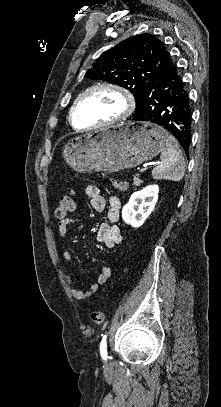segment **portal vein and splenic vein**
I'll list each match as a JSON object with an SVG mask.
<instances>
[{"label": "portal vein and splenic vein", "instance_id": "1", "mask_svg": "<svg viewBox=\"0 0 221 407\" xmlns=\"http://www.w3.org/2000/svg\"><path fill=\"white\" fill-rule=\"evenodd\" d=\"M157 164H159V162H158V163H156V165H157ZM146 169H147V166H144L143 168H141V169H140V172H141V173H143V172H145V171H146Z\"/></svg>", "mask_w": 221, "mask_h": 407}]
</instances>
